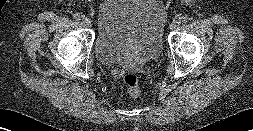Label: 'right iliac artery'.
<instances>
[{
  "label": "right iliac artery",
  "mask_w": 253,
  "mask_h": 131,
  "mask_svg": "<svg viewBox=\"0 0 253 131\" xmlns=\"http://www.w3.org/2000/svg\"><path fill=\"white\" fill-rule=\"evenodd\" d=\"M73 17L76 19V20H81V19H84V15H81L80 13H75L73 15Z\"/></svg>",
  "instance_id": "obj_1"
}]
</instances>
